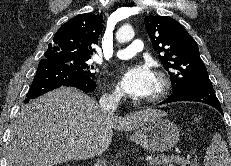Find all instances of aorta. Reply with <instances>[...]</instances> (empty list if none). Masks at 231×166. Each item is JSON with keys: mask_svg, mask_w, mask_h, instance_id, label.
<instances>
[{"mask_svg": "<svg viewBox=\"0 0 231 166\" xmlns=\"http://www.w3.org/2000/svg\"><path fill=\"white\" fill-rule=\"evenodd\" d=\"M135 33L130 25L122 26L116 33V40L119 43H125L130 41L134 37Z\"/></svg>", "mask_w": 231, "mask_h": 166, "instance_id": "aorta-1", "label": "aorta"}]
</instances>
